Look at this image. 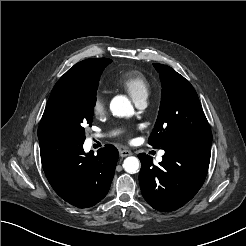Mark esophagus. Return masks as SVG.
<instances>
[{"instance_id":"34e87169","label":"esophagus","mask_w":246,"mask_h":246,"mask_svg":"<svg viewBox=\"0 0 246 246\" xmlns=\"http://www.w3.org/2000/svg\"><path fill=\"white\" fill-rule=\"evenodd\" d=\"M119 154L121 157H127V156L131 155L132 153H131V151H129L127 149H123V150L119 151Z\"/></svg>"}]
</instances>
